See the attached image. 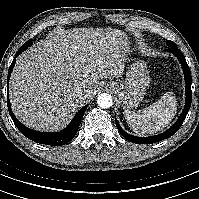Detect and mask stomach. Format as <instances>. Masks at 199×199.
<instances>
[{"instance_id": "stomach-1", "label": "stomach", "mask_w": 199, "mask_h": 199, "mask_svg": "<svg viewBox=\"0 0 199 199\" xmlns=\"http://www.w3.org/2000/svg\"><path fill=\"white\" fill-rule=\"evenodd\" d=\"M149 84L150 77L146 63L137 59L128 67L124 80L111 81L107 87L118 96L124 108L130 109L143 100Z\"/></svg>"}]
</instances>
